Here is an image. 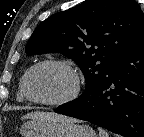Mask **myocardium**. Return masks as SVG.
<instances>
[{"label":"myocardium","instance_id":"f54148a6","mask_svg":"<svg viewBox=\"0 0 144 137\" xmlns=\"http://www.w3.org/2000/svg\"><path fill=\"white\" fill-rule=\"evenodd\" d=\"M46 65H53V66L60 67L70 74L73 81V86L71 91L65 97L57 100H44V99L34 98L30 95L28 90V84H29V79L31 74L36 69ZM81 86H82V82H81L80 74L72 64L59 59H45L35 63L26 71L22 80V93L24 97L32 103L46 105V106H61L74 101L80 93Z\"/></svg>","mask_w":144,"mask_h":137}]
</instances>
